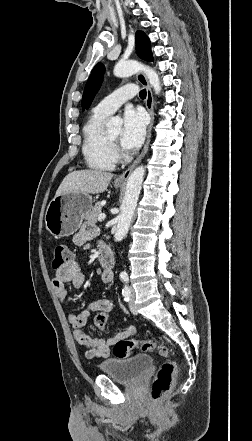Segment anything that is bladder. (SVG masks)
<instances>
[{
	"label": "bladder",
	"mask_w": 252,
	"mask_h": 441,
	"mask_svg": "<svg viewBox=\"0 0 252 441\" xmlns=\"http://www.w3.org/2000/svg\"><path fill=\"white\" fill-rule=\"evenodd\" d=\"M153 359L146 354L125 358H112L99 364L100 370L113 380L121 383H135L152 367Z\"/></svg>",
	"instance_id": "31cf9c89"
}]
</instances>
